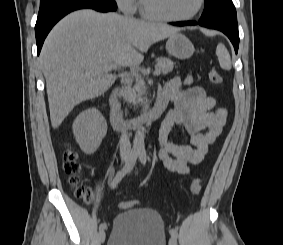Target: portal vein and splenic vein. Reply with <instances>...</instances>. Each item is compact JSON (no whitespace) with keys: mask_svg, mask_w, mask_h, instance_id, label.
I'll return each mask as SVG.
<instances>
[{"mask_svg":"<svg viewBox=\"0 0 283 245\" xmlns=\"http://www.w3.org/2000/svg\"><path fill=\"white\" fill-rule=\"evenodd\" d=\"M116 68H117V67L114 66V65H111V66L109 67V69H116ZM153 74L156 75V76L160 75V70L156 69V70L153 72ZM133 75L136 76V77H138V73H137V72H133Z\"/></svg>","mask_w":283,"mask_h":245,"instance_id":"portal-vein-and-splenic-vein-1","label":"portal vein and splenic vein"}]
</instances>
